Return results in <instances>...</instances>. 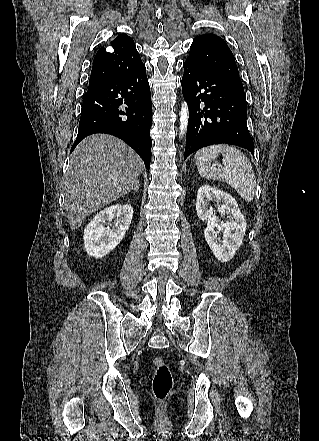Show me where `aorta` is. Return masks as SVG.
<instances>
[{
    "label": "aorta",
    "mask_w": 319,
    "mask_h": 441,
    "mask_svg": "<svg viewBox=\"0 0 319 441\" xmlns=\"http://www.w3.org/2000/svg\"><path fill=\"white\" fill-rule=\"evenodd\" d=\"M189 121V110L186 102H182L180 111V136L182 137L187 130Z\"/></svg>",
    "instance_id": "762f6f07"
}]
</instances>
